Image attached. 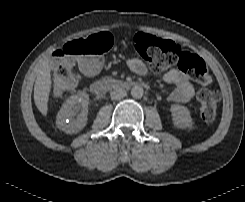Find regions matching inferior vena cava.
Returning <instances> with one entry per match:
<instances>
[{"mask_svg": "<svg viewBox=\"0 0 245 202\" xmlns=\"http://www.w3.org/2000/svg\"><path fill=\"white\" fill-rule=\"evenodd\" d=\"M127 95V92L123 88H116L111 92V99L112 100H120Z\"/></svg>", "mask_w": 245, "mask_h": 202, "instance_id": "inferior-vena-cava-1", "label": "inferior vena cava"}]
</instances>
